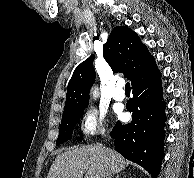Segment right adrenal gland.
<instances>
[{"mask_svg": "<svg viewBox=\"0 0 194 178\" xmlns=\"http://www.w3.org/2000/svg\"><path fill=\"white\" fill-rule=\"evenodd\" d=\"M115 178H119V175H117Z\"/></svg>", "mask_w": 194, "mask_h": 178, "instance_id": "2a0ac1e0", "label": "right adrenal gland"}]
</instances>
